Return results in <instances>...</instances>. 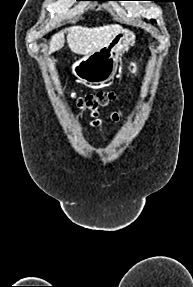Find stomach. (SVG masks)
<instances>
[{"label": "stomach", "instance_id": "stomach-1", "mask_svg": "<svg viewBox=\"0 0 193 287\" xmlns=\"http://www.w3.org/2000/svg\"><path fill=\"white\" fill-rule=\"evenodd\" d=\"M134 44V33L120 30L99 51L76 60L71 66L72 73L84 83H106L114 78L122 55Z\"/></svg>", "mask_w": 193, "mask_h": 287}]
</instances>
